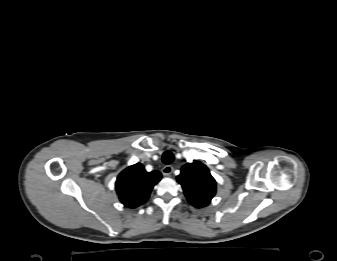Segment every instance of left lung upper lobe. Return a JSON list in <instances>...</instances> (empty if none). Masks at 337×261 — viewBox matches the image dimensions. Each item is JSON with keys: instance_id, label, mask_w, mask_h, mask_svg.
<instances>
[{"instance_id": "5c2ea615", "label": "left lung upper lobe", "mask_w": 337, "mask_h": 261, "mask_svg": "<svg viewBox=\"0 0 337 261\" xmlns=\"http://www.w3.org/2000/svg\"><path fill=\"white\" fill-rule=\"evenodd\" d=\"M188 202L196 208L207 206L216 193V181L200 162L187 163L177 176Z\"/></svg>"}]
</instances>
